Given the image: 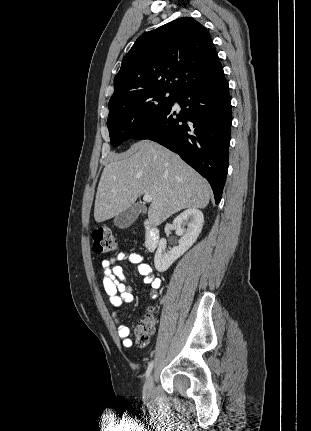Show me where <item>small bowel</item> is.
<instances>
[{
  "mask_svg": "<svg viewBox=\"0 0 311 431\" xmlns=\"http://www.w3.org/2000/svg\"><path fill=\"white\" fill-rule=\"evenodd\" d=\"M129 261L137 268V272L144 278V282L151 286L150 296L156 298L158 296V288L160 280L153 274L151 266L144 261L143 257L138 253L120 252L111 259L103 260L102 265V283L106 294L109 297L110 303L119 308L124 303L131 304L133 302L132 289L125 283V273L123 268L118 264L121 261ZM116 318V313L114 314ZM116 322L117 319H115ZM117 332L122 339L125 347H130L132 341L130 339V329L126 325L118 324Z\"/></svg>",
  "mask_w": 311,
  "mask_h": 431,
  "instance_id": "1",
  "label": "small bowel"
}]
</instances>
